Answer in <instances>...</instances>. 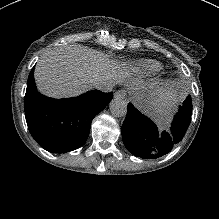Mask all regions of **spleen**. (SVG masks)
Masks as SVG:
<instances>
[{
    "label": "spleen",
    "instance_id": "spleen-1",
    "mask_svg": "<svg viewBox=\"0 0 219 219\" xmlns=\"http://www.w3.org/2000/svg\"><path fill=\"white\" fill-rule=\"evenodd\" d=\"M150 116L160 129H164L167 127V119L169 117L168 110L157 109L153 111Z\"/></svg>",
    "mask_w": 219,
    "mask_h": 219
}]
</instances>
